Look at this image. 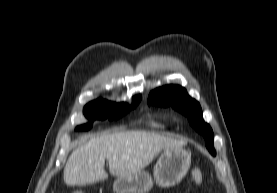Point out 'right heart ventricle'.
Segmentation results:
<instances>
[{
  "label": "right heart ventricle",
  "instance_id": "obj_1",
  "mask_svg": "<svg viewBox=\"0 0 277 193\" xmlns=\"http://www.w3.org/2000/svg\"><path fill=\"white\" fill-rule=\"evenodd\" d=\"M153 126L156 127V128H165V125H164V124L157 123V122H154V123H153Z\"/></svg>",
  "mask_w": 277,
  "mask_h": 193
}]
</instances>
